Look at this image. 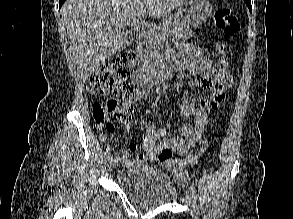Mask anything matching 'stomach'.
Masks as SVG:
<instances>
[{"mask_svg":"<svg viewBox=\"0 0 293 219\" xmlns=\"http://www.w3.org/2000/svg\"><path fill=\"white\" fill-rule=\"evenodd\" d=\"M179 14L189 26L199 28L210 20L213 8L208 0H185L180 5Z\"/></svg>","mask_w":293,"mask_h":219,"instance_id":"1","label":"stomach"}]
</instances>
